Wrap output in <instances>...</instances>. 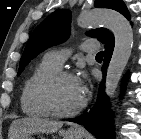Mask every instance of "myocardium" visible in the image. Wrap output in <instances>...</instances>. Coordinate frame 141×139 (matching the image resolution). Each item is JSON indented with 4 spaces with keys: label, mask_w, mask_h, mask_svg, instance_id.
Returning <instances> with one entry per match:
<instances>
[{
    "label": "myocardium",
    "mask_w": 141,
    "mask_h": 139,
    "mask_svg": "<svg viewBox=\"0 0 141 139\" xmlns=\"http://www.w3.org/2000/svg\"><path fill=\"white\" fill-rule=\"evenodd\" d=\"M63 78H76V77L73 73L69 71L58 70L52 73L51 75H49L39 87L38 96L40 103L44 108V110L47 112V114L52 117L63 118V117L74 116L79 112H81L87 104V99L86 97H84L82 102L71 110L61 111L55 107L53 101V89L56 83Z\"/></svg>",
    "instance_id": "obj_1"
}]
</instances>
